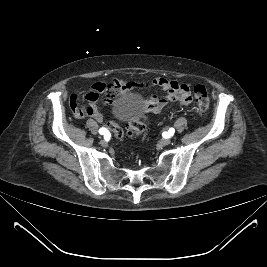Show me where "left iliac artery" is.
Listing matches in <instances>:
<instances>
[{"label": "left iliac artery", "mask_w": 267, "mask_h": 267, "mask_svg": "<svg viewBox=\"0 0 267 267\" xmlns=\"http://www.w3.org/2000/svg\"><path fill=\"white\" fill-rule=\"evenodd\" d=\"M174 132H175L174 128H170L169 131H168V133H169L171 136L174 134Z\"/></svg>", "instance_id": "left-iliac-artery-1"}]
</instances>
